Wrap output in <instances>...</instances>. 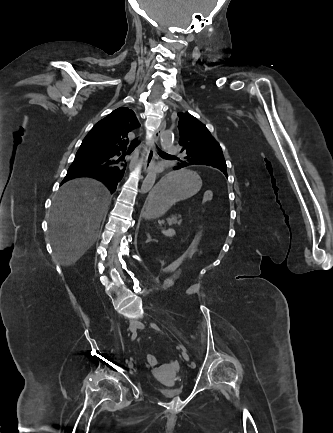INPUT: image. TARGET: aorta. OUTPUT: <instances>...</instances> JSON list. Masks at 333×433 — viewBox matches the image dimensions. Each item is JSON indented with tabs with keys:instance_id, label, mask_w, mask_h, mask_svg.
<instances>
[{
	"instance_id": "aorta-1",
	"label": "aorta",
	"mask_w": 333,
	"mask_h": 433,
	"mask_svg": "<svg viewBox=\"0 0 333 433\" xmlns=\"http://www.w3.org/2000/svg\"><path fill=\"white\" fill-rule=\"evenodd\" d=\"M160 143L163 150H166L173 143V136L169 131H162L160 133ZM156 180V171L149 172L144 179L140 193L145 194L151 190Z\"/></svg>"
}]
</instances>
